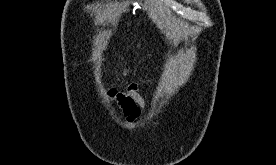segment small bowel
I'll use <instances>...</instances> for the list:
<instances>
[{"label": "small bowel", "instance_id": "c3829d8e", "mask_svg": "<svg viewBox=\"0 0 276 165\" xmlns=\"http://www.w3.org/2000/svg\"><path fill=\"white\" fill-rule=\"evenodd\" d=\"M139 91L140 84L131 82L123 91L112 88L107 93L108 98L122 109L129 122L136 120L147 109V103Z\"/></svg>", "mask_w": 276, "mask_h": 165}]
</instances>
